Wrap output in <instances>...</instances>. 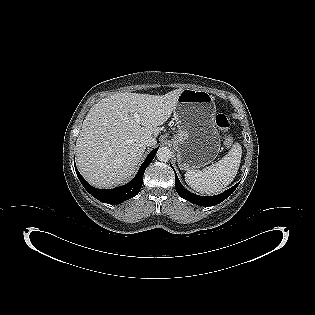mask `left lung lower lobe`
<instances>
[{
    "mask_svg": "<svg viewBox=\"0 0 315 315\" xmlns=\"http://www.w3.org/2000/svg\"><path fill=\"white\" fill-rule=\"evenodd\" d=\"M174 172H175V170H174ZM175 178H176L175 179V189H176V191L180 197H182L183 199L188 200L192 203H195V204L200 205V206H205V207L215 206V205L221 203L222 201H224L226 198H228L234 192V190L237 188V186L239 184V183H237L232 188L224 191L223 193H221L219 195L210 196V197H203V196L193 194V193L189 192L188 190H186L182 186V184L180 183L178 177L176 176V173H175Z\"/></svg>",
    "mask_w": 315,
    "mask_h": 315,
    "instance_id": "left-lung-lower-lobe-1",
    "label": "left lung lower lobe"
}]
</instances>
